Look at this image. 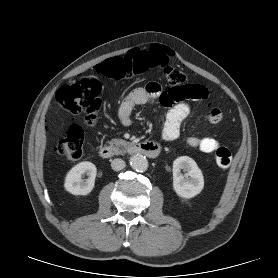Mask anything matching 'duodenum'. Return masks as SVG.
<instances>
[{"instance_id":"1","label":"duodenum","mask_w":278,"mask_h":278,"mask_svg":"<svg viewBox=\"0 0 278 278\" xmlns=\"http://www.w3.org/2000/svg\"><path fill=\"white\" fill-rule=\"evenodd\" d=\"M122 152L129 154H141L148 158H156L161 152L160 146L155 142H139L127 145L124 149H118L113 146H102L99 149V155L102 158H111Z\"/></svg>"}]
</instances>
